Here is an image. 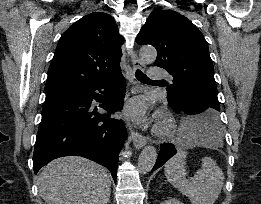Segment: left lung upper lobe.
<instances>
[{
  "label": "left lung upper lobe",
  "instance_id": "obj_1",
  "mask_svg": "<svg viewBox=\"0 0 261 204\" xmlns=\"http://www.w3.org/2000/svg\"><path fill=\"white\" fill-rule=\"evenodd\" d=\"M140 45L157 50L154 65L173 76L167 86L168 102L177 105L196 98L220 111L213 63L200 30L186 17L172 10H154L136 38Z\"/></svg>",
  "mask_w": 261,
  "mask_h": 204
}]
</instances>
